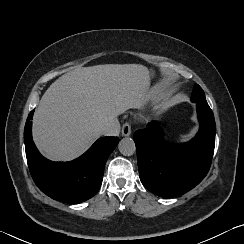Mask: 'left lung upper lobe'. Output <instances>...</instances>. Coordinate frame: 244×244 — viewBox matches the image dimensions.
I'll use <instances>...</instances> for the list:
<instances>
[{
  "instance_id": "5c2ea615",
  "label": "left lung upper lobe",
  "mask_w": 244,
  "mask_h": 244,
  "mask_svg": "<svg viewBox=\"0 0 244 244\" xmlns=\"http://www.w3.org/2000/svg\"><path fill=\"white\" fill-rule=\"evenodd\" d=\"M192 99L196 100L197 102L203 100L204 101V106L209 107V105H208V103L206 102V99H205L204 91L197 84L195 85Z\"/></svg>"
}]
</instances>
